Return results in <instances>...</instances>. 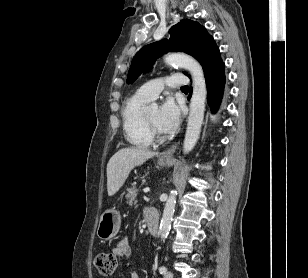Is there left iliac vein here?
<instances>
[{"label":"left iliac vein","instance_id":"1","mask_svg":"<svg viewBox=\"0 0 308 278\" xmlns=\"http://www.w3.org/2000/svg\"><path fill=\"white\" fill-rule=\"evenodd\" d=\"M164 278H174L173 273H172L171 271H167V272L164 274Z\"/></svg>","mask_w":308,"mask_h":278}]
</instances>
